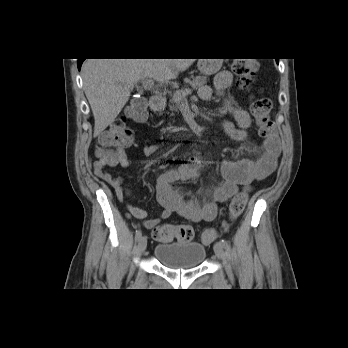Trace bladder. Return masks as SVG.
Instances as JSON below:
<instances>
[{"instance_id":"bladder-1","label":"bladder","mask_w":348,"mask_h":348,"mask_svg":"<svg viewBox=\"0 0 348 348\" xmlns=\"http://www.w3.org/2000/svg\"><path fill=\"white\" fill-rule=\"evenodd\" d=\"M154 256L171 269H189L203 263L206 249L198 242L174 241L157 245Z\"/></svg>"}]
</instances>
